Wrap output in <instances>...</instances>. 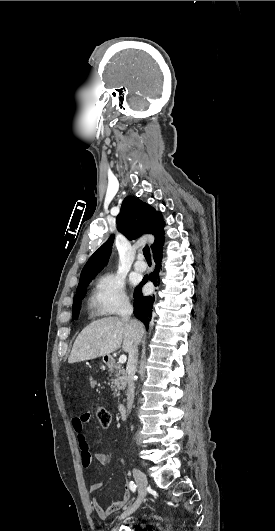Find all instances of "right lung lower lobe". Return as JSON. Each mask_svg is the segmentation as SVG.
<instances>
[{"label": "right lung lower lobe", "instance_id": "right-lung-lower-lobe-1", "mask_svg": "<svg viewBox=\"0 0 275 531\" xmlns=\"http://www.w3.org/2000/svg\"><path fill=\"white\" fill-rule=\"evenodd\" d=\"M164 241L152 250L153 258L156 263V268L154 272L149 276V280L153 282L155 286L159 282V272L161 268L162 260V245ZM148 278L144 277L142 284H140L134 292V315L140 321H142L146 328L148 329L149 322L152 316V308L155 297L154 296H143L141 292V286L147 282Z\"/></svg>", "mask_w": 275, "mask_h": 531}]
</instances>
